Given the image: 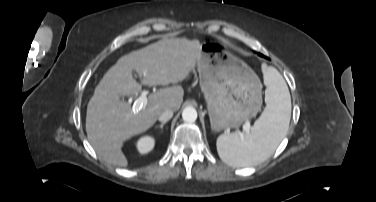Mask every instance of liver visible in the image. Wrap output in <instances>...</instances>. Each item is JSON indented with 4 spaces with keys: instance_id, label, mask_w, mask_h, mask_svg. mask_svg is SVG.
<instances>
[{
    "instance_id": "1",
    "label": "liver",
    "mask_w": 376,
    "mask_h": 202,
    "mask_svg": "<svg viewBox=\"0 0 376 202\" xmlns=\"http://www.w3.org/2000/svg\"><path fill=\"white\" fill-rule=\"evenodd\" d=\"M199 40L164 38L122 56L103 76L88 102L87 137L96 153L107 163L126 167L123 143L153 126L167 109L177 111L183 101L181 86L159 89L140 109L120 99L142 91L143 85L157 86L182 82L200 56ZM136 71L142 84L132 75Z\"/></svg>"
}]
</instances>
